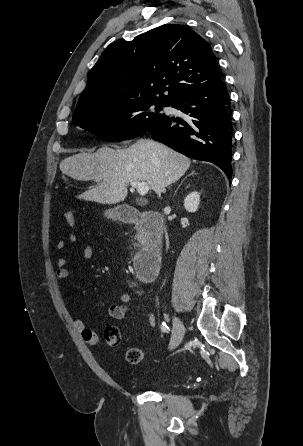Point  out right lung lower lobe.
Instances as JSON below:
<instances>
[{
    "label": "right lung lower lobe",
    "mask_w": 303,
    "mask_h": 446,
    "mask_svg": "<svg viewBox=\"0 0 303 446\" xmlns=\"http://www.w3.org/2000/svg\"><path fill=\"white\" fill-rule=\"evenodd\" d=\"M171 106L186 116L164 115L146 133L190 158L212 162L231 178L232 109L225 81L188 91Z\"/></svg>",
    "instance_id": "98d812e1"
}]
</instances>
